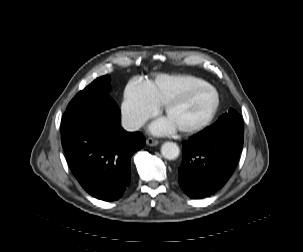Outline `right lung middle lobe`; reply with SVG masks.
I'll return each mask as SVG.
<instances>
[{
	"label": "right lung middle lobe",
	"mask_w": 303,
	"mask_h": 252,
	"mask_svg": "<svg viewBox=\"0 0 303 252\" xmlns=\"http://www.w3.org/2000/svg\"><path fill=\"white\" fill-rule=\"evenodd\" d=\"M110 78L108 75L102 76L94 80L90 85L81 90L69 103L67 111L86 105L90 102L103 98L110 99L104 95L110 89Z\"/></svg>",
	"instance_id": "right-lung-middle-lobe-1"
}]
</instances>
